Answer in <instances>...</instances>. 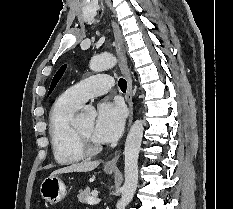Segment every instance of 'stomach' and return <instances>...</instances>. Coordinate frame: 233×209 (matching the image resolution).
<instances>
[{"label": "stomach", "mask_w": 233, "mask_h": 209, "mask_svg": "<svg viewBox=\"0 0 233 209\" xmlns=\"http://www.w3.org/2000/svg\"><path fill=\"white\" fill-rule=\"evenodd\" d=\"M114 171L115 169H105L107 174H112ZM40 194L46 202L56 204L65 198L67 190L62 179L54 175L49 176L42 181Z\"/></svg>", "instance_id": "0dacf381"}]
</instances>
